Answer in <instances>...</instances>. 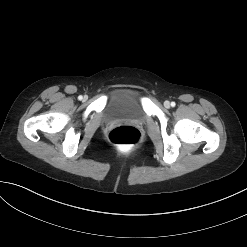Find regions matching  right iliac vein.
Listing matches in <instances>:
<instances>
[{"mask_svg": "<svg viewBox=\"0 0 247 247\" xmlns=\"http://www.w3.org/2000/svg\"><path fill=\"white\" fill-rule=\"evenodd\" d=\"M87 99H88L87 96H84V97H83V101H86Z\"/></svg>", "mask_w": 247, "mask_h": 247, "instance_id": "right-iliac-vein-1", "label": "right iliac vein"}]
</instances>
